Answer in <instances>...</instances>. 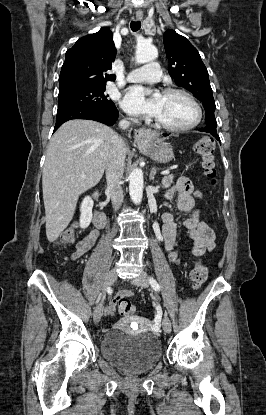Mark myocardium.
<instances>
[{
    "mask_svg": "<svg viewBox=\"0 0 266 415\" xmlns=\"http://www.w3.org/2000/svg\"><path fill=\"white\" fill-rule=\"evenodd\" d=\"M163 94H178V95L185 97L194 107L195 112H196V117L193 120V122L185 126H170L155 119V125L159 129H162L168 132H185L199 125V123L202 120V115H203L202 109L198 101L195 99V97L191 93L181 88L169 87L163 90Z\"/></svg>",
    "mask_w": 266,
    "mask_h": 415,
    "instance_id": "1",
    "label": "myocardium"
}]
</instances>
